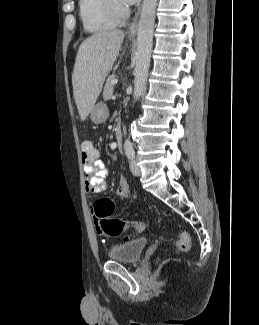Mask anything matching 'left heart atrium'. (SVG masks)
<instances>
[{
    "label": "left heart atrium",
    "instance_id": "39dd6f15",
    "mask_svg": "<svg viewBox=\"0 0 259 325\" xmlns=\"http://www.w3.org/2000/svg\"><path fill=\"white\" fill-rule=\"evenodd\" d=\"M121 2L125 5H130L136 2V0H121Z\"/></svg>",
    "mask_w": 259,
    "mask_h": 325
}]
</instances>
